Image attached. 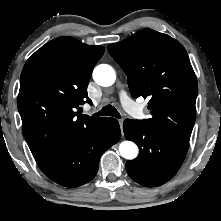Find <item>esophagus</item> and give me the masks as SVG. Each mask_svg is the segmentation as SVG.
<instances>
[{"mask_svg":"<svg viewBox=\"0 0 221 221\" xmlns=\"http://www.w3.org/2000/svg\"><path fill=\"white\" fill-rule=\"evenodd\" d=\"M118 122H119V124H120L121 129H122V126H123V119H118Z\"/></svg>","mask_w":221,"mask_h":221,"instance_id":"1","label":"esophagus"}]
</instances>
